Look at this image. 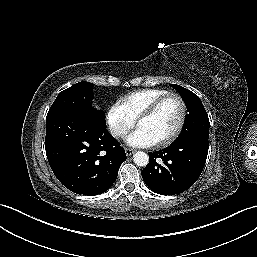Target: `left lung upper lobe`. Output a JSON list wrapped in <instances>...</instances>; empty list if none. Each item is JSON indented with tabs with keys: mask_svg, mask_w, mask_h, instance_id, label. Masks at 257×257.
Returning <instances> with one entry per match:
<instances>
[{
	"mask_svg": "<svg viewBox=\"0 0 257 257\" xmlns=\"http://www.w3.org/2000/svg\"><path fill=\"white\" fill-rule=\"evenodd\" d=\"M172 87L180 92L189 112L183 130L176 141L193 136L208 138L209 118L200 98L190 90L177 84H172Z\"/></svg>",
	"mask_w": 257,
	"mask_h": 257,
	"instance_id": "5c2ea615",
	"label": "left lung upper lobe"
}]
</instances>
